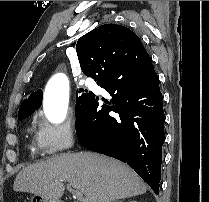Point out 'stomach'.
Segmentation results:
<instances>
[{
    "label": "stomach",
    "mask_w": 209,
    "mask_h": 202,
    "mask_svg": "<svg viewBox=\"0 0 209 202\" xmlns=\"http://www.w3.org/2000/svg\"><path fill=\"white\" fill-rule=\"evenodd\" d=\"M30 202H61L57 199L47 198L41 195H34Z\"/></svg>",
    "instance_id": "stomach-1"
}]
</instances>
